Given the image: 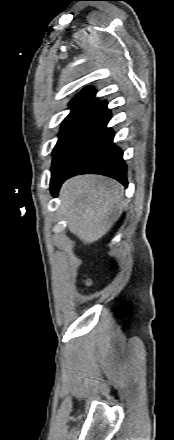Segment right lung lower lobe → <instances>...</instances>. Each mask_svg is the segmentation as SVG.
I'll return each instance as SVG.
<instances>
[{
  "mask_svg": "<svg viewBox=\"0 0 174 440\" xmlns=\"http://www.w3.org/2000/svg\"><path fill=\"white\" fill-rule=\"evenodd\" d=\"M100 110L95 121L94 131L91 134L84 152L79 157L74 168L59 181L51 185V192L57 196L62 183L78 174H101L116 179L125 187L127 181V167L123 160V152L113 143L114 132L107 128L111 119V112L107 103H100Z\"/></svg>",
  "mask_w": 174,
  "mask_h": 440,
  "instance_id": "1",
  "label": "right lung lower lobe"
}]
</instances>
